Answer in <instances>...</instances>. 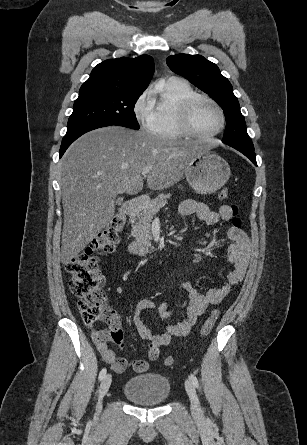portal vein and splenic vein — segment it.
<instances>
[{
	"label": "portal vein and splenic vein",
	"mask_w": 307,
	"mask_h": 445,
	"mask_svg": "<svg viewBox=\"0 0 307 445\" xmlns=\"http://www.w3.org/2000/svg\"><path fill=\"white\" fill-rule=\"evenodd\" d=\"M150 170V166H145V168H143V170H141V174H147V172H149Z\"/></svg>",
	"instance_id": "1"
}]
</instances>
